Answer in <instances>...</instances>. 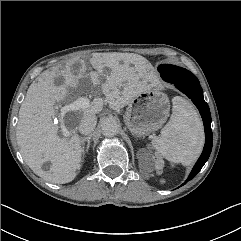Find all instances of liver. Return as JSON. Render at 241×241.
<instances>
[{"instance_id":"obj_1","label":"liver","mask_w":241,"mask_h":241,"mask_svg":"<svg viewBox=\"0 0 241 241\" xmlns=\"http://www.w3.org/2000/svg\"><path fill=\"white\" fill-rule=\"evenodd\" d=\"M90 64L96 71L87 72L84 62L76 72L69 62L62 74L68 79L65 85L56 86L57 69L44 71L27 91L19 110L16 128L17 144L25 163L39 176L57 184L71 182L80 169L82 156L81 138L74 126L66 138L58 136V126L54 123L55 103L70 95V87L77 88L79 80H89L94 86L101 85L109 107L118 110L144 91L151 89L153 75L151 64L140 55L131 53H93ZM110 70L104 74V69ZM104 77V81H102ZM102 109V101L94 99L85 109L68 111L64 123L77 126L85 113L97 114ZM51 161L50 172L41 166Z\"/></svg>"}]
</instances>
